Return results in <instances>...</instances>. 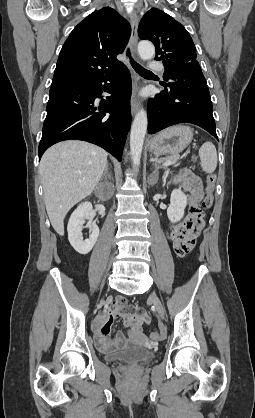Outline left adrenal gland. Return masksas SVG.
<instances>
[{"instance_id":"1","label":"left adrenal gland","mask_w":255,"mask_h":418,"mask_svg":"<svg viewBox=\"0 0 255 418\" xmlns=\"http://www.w3.org/2000/svg\"><path fill=\"white\" fill-rule=\"evenodd\" d=\"M153 163V165H154V167H155V170H154V172L152 173V175H154V174H157L158 173V169L161 167L160 165H158L156 162H152ZM151 175V176H152ZM148 183L149 184H151V185H153L152 183H150L149 181H148Z\"/></svg>"}]
</instances>
